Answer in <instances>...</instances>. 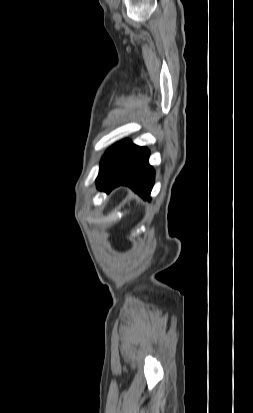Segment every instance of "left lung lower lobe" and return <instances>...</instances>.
Segmentation results:
<instances>
[{
  "label": "left lung lower lobe",
  "mask_w": 253,
  "mask_h": 413,
  "mask_svg": "<svg viewBox=\"0 0 253 413\" xmlns=\"http://www.w3.org/2000/svg\"><path fill=\"white\" fill-rule=\"evenodd\" d=\"M149 150L128 140L117 144L99 170L97 188L109 192L119 185H127L144 199L150 197L154 184V170L148 163Z\"/></svg>",
  "instance_id": "1"
}]
</instances>
